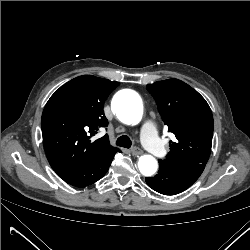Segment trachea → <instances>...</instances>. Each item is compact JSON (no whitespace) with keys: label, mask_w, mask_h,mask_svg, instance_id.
Listing matches in <instances>:
<instances>
[{"label":"trachea","mask_w":250,"mask_h":250,"mask_svg":"<svg viewBox=\"0 0 250 250\" xmlns=\"http://www.w3.org/2000/svg\"><path fill=\"white\" fill-rule=\"evenodd\" d=\"M116 145L124 147V148H130L132 145V142L127 135H122L117 139Z\"/></svg>","instance_id":"1"}]
</instances>
